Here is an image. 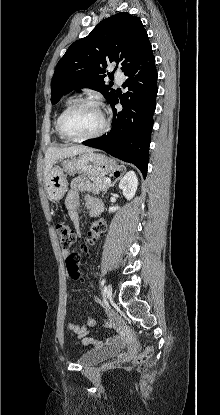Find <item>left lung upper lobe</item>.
I'll return each mask as SVG.
<instances>
[{
    "label": "left lung upper lobe",
    "mask_w": 220,
    "mask_h": 415,
    "mask_svg": "<svg viewBox=\"0 0 220 415\" xmlns=\"http://www.w3.org/2000/svg\"><path fill=\"white\" fill-rule=\"evenodd\" d=\"M151 56L152 46L138 17L121 12L104 19L88 36L74 42L58 62L52 78L51 102L56 104L64 94L84 87L99 91L110 102L115 90L104 82L107 64L120 63L124 72L142 65Z\"/></svg>",
    "instance_id": "obj_1"
}]
</instances>
